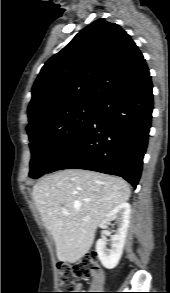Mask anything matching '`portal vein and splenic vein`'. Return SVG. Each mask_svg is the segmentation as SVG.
<instances>
[{"label":"portal vein and splenic vein","mask_w":170,"mask_h":293,"mask_svg":"<svg viewBox=\"0 0 170 293\" xmlns=\"http://www.w3.org/2000/svg\"><path fill=\"white\" fill-rule=\"evenodd\" d=\"M62 214H63V215H69V213H68L66 210H63V211H62Z\"/></svg>","instance_id":"portal-vein-and-splenic-vein-1"}]
</instances>
